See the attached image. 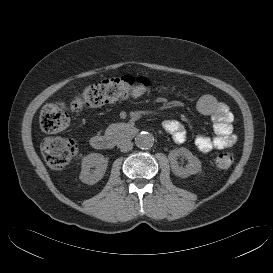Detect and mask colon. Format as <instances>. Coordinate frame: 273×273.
Listing matches in <instances>:
<instances>
[{
    "instance_id": "1",
    "label": "colon",
    "mask_w": 273,
    "mask_h": 273,
    "mask_svg": "<svg viewBox=\"0 0 273 273\" xmlns=\"http://www.w3.org/2000/svg\"><path fill=\"white\" fill-rule=\"evenodd\" d=\"M148 86L147 78L134 76L97 81L69 100L44 106L40 113V126L47 133L63 131L69 124V112H79L85 106L98 107L123 100ZM42 152L50 167L62 168L76 157L78 147L72 139L50 137L43 141ZM233 162L234 155L230 151L220 152L215 158V166L222 170L230 168Z\"/></svg>"
}]
</instances>
